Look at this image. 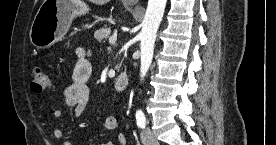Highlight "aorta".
<instances>
[{"instance_id":"obj_1","label":"aorta","mask_w":276,"mask_h":145,"mask_svg":"<svg viewBox=\"0 0 276 145\" xmlns=\"http://www.w3.org/2000/svg\"><path fill=\"white\" fill-rule=\"evenodd\" d=\"M167 0H148L146 14L140 32V76L144 78L153 59L156 33L162 21Z\"/></svg>"}]
</instances>
